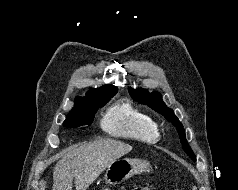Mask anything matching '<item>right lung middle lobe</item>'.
I'll use <instances>...</instances> for the list:
<instances>
[{
    "mask_svg": "<svg viewBox=\"0 0 238 190\" xmlns=\"http://www.w3.org/2000/svg\"><path fill=\"white\" fill-rule=\"evenodd\" d=\"M115 93L98 95L85 100L82 107L73 108L67 115L64 126L76 128L82 125H90L93 122L97 109L104 106Z\"/></svg>",
    "mask_w": 238,
    "mask_h": 190,
    "instance_id": "1",
    "label": "right lung middle lobe"
}]
</instances>
